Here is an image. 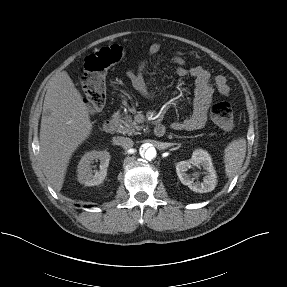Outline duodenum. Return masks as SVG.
Returning <instances> with one entry per match:
<instances>
[{"instance_id": "obj_1", "label": "duodenum", "mask_w": 287, "mask_h": 287, "mask_svg": "<svg viewBox=\"0 0 287 287\" xmlns=\"http://www.w3.org/2000/svg\"><path fill=\"white\" fill-rule=\"evenodd\" d=\"M103 129L107 133H114L116 131V122L113 119H107L104 121ZM165 126L163 124H156L154 126V134L157 137H162L165 134Z\"/></svg>"}]
</instances>
